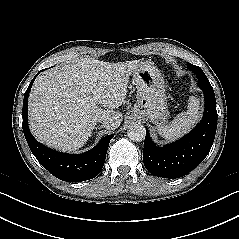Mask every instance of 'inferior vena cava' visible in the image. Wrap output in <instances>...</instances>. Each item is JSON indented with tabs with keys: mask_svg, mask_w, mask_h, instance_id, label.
Listing matches in <instances>:
<instances>
[{
	"mask_svg": "<svg viewBox=\"0 0 239 239\" xmlns=\"http://www.w3.org/2000/svg\"><path fill=\"white\" fill-rule=\"evenodd\" d=\"M110 118L107 116H101L100 118L97 119V122L103 123V125L109 124L110 123Z\"/></svg>",
	"mask_w": 239,
	"mask_h": 239,
	"instance_id": "602c4592",
	"label": "inferior vena cava"
}]
</instances>
